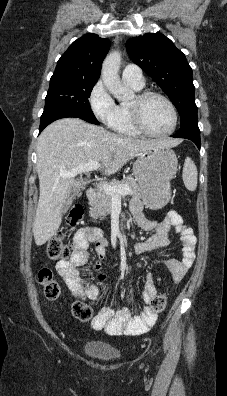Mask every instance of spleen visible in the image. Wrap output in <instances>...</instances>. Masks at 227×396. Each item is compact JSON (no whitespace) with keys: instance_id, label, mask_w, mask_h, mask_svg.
Instances as JSON below:
<instances>
[{"instance_id":"spleen-1","label":"spleen","mask_w":227,"mask_h":396,"mask_svg":"<svg viewBox=\"0 0 227 396\" xmlns=\"http://www.w3.org/2000/svg\"><path fill=\"white\" fill-rule=\"evenodd\" d=\"M197 168L195 163L191 160V158L187 157L185 159L182 178L185 187L189 191H195L197 188Z\"/></svg>"}]
</instances>
